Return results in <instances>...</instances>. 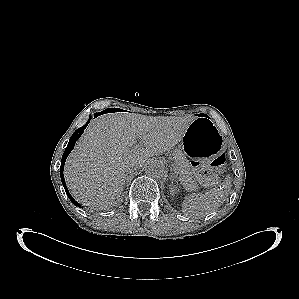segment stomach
I'll use <instances>...</instances> for the list:
<instances>
[{
	"label": "stomach",
	"instance_id": "stomach-1",
	"mask_svg": "<svg viewBox=\"0 0 299 299\" xmlns=\"http://www.w3.org/2000/svg\"><path fill=\"white\" fill-rule=\"evenodd\" d=\"M183 146L187 156L195 162H206L223 149V138L208 116H198L190 123Z\"/></svg>",
	"mask_w": 299,
	"mask_h": 299
}]
</instances>
